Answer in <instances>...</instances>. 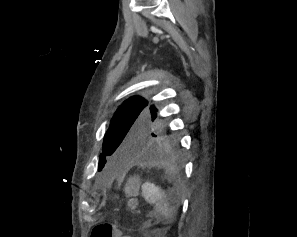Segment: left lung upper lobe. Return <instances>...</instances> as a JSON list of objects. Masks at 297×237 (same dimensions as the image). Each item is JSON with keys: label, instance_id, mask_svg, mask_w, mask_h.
<instances>
[{"label": "left lung upper lobe", "instance_id": "obj_1", "mask_svg": "<svg viewBox=\"0 0 297 237\" xmlns=\"http://www.w3.org/2000/svg\"><path fill=\"white\" fill-rule=\"evenodd\" d=\"M154 106L148 108V102L134 96L126 100L116 111L104 137L98 170L107 162L143 157L150 153L151 147L160 134Z\"/></svg>", "mask_w": 297, "mask_h": 237}]
</instances>
